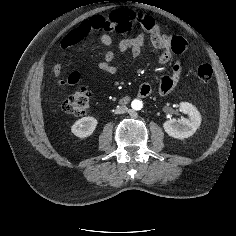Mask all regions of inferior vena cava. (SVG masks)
Wrapping results in <instances>:
<instances>
[{
    "instance_id": "602c4592",
    "label": "inferior vena cava",
    "mask_w": 236,
    "mask_h": 236,
    "mask_svg": "<svg viewBox=\"0 0 236 236\" xmlns=\"http://www.w3.org/2000/svg\"><path fill=\"white\" fill-rule=\"evenodd\" d=\"M128 111V108L127 106L123 105V106H118L116 109H115V114H124Z\"/></svg>"
}]
</instances>
